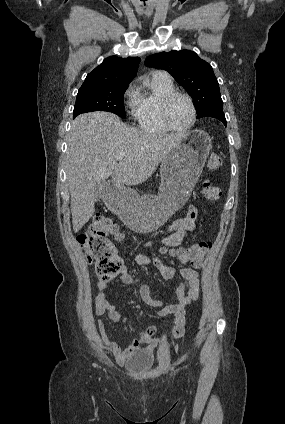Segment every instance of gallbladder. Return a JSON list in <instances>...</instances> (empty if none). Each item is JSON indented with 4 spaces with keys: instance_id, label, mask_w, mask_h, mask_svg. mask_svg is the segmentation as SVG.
I'll use <instances>...</instances> for the list:
<instances>
[{
    "instance_id": "bac80fb5",
    "label": "gallbladder",
    "mask_w": 285,
    "mask_h": 424,
    "mask_svg": "<svg viewBox=\"0 0 285 424\" xmlns=\"http://www.w3.org/2000/svg\"><path fill=\"white\" fill-rule=\"evenodd\" d=\"M107 186H108V182L105 180H101L95 184L94 195H95L96 201H99L100 199H102L104 195V191Z\"/></svg>"
}]
</instances>
